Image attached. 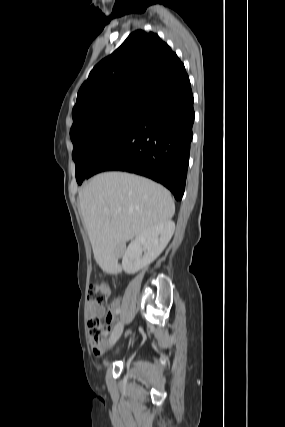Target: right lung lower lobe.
<instances>
[{
	"mask_svg": "<svg viewBox=\"0 0 285 427\" xmlns=\"http://www.w3.org/2000/svg\"><path fill=\"white\" fill-rule=\"evenodd\" d=\"M193 101L186 72L156 89L132 127L87 178L103 171L131 172L163 184L181 200L193 136Z\"/></svg>",
	"mask_w": 285,
	"mask_h": 427,
	"instance_id": "98d812e1",
	"label": "right lung lower lobe"
}]
</instances>
